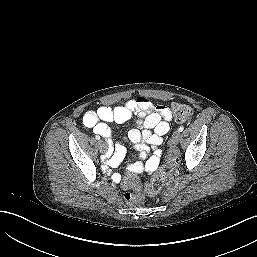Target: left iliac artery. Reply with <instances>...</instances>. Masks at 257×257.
<instances>
[{"instance_id": "44dca946", "label": "left iliac artery", "mask_w": 257, "mask_h": 257, "mask_svg": "<svg viewBox=\"0 0 257 257\" xmlns=\"http://www.w3.org/2000/svg\"><path fill=\"white\" fill-rule=\"evenodd\" d=\"M184 130V126H180L179 128H178V131H180V132H182Z\"/></svg>"}]
</instances>
